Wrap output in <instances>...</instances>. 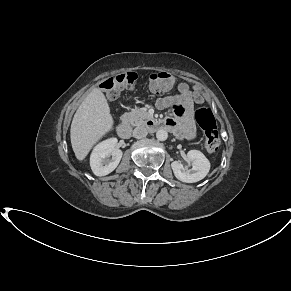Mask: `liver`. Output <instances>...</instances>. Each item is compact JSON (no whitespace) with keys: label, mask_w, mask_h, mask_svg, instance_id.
Returning a JSON list of instances; mask_svg holds the SVG:
<instances>
[{"label":"liver","mask_w":291,"mask_h":291,"mask_svg":"<svg viewBox=\"0 0 291 291\" xmlns=\"http://www.w3.org/2000/svg\"><path fill=\"white\" fill-rule=\"evenodd\" d=\"M114 120L103 92L94 88L74 114L70 138L76 158L83 161L92 147L113 129Z\"/></svg>","instance_id":"1"}]
</instances>
